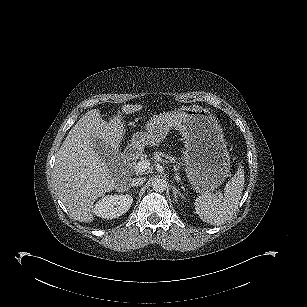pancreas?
<instances>
[{
	"label": "pancreas",
	"mask_w": 307,
	"mask_h": 307,
	"mask_svg": "<svg viewBox=\"0 0 307 307\" xmlns=\"http://www.w3.org/2000/svg\"><path fill=\"white\" fill-rule=\"evenodd\" d=\"M162 157H165L166 159H170L171 162H175V158L174 157H170L162 152H155L154 153V159L157 161H161Z\"/></svg>",
	"instance_id": "obj_1"
}]
</instances>
